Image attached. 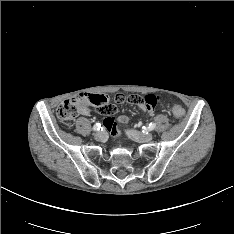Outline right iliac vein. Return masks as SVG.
Here are the masks:
<instances>
[{
    "label": "right iliac vein",
    "mask_w": 234,
    "mask_h": 234,
    "mask_svg": "<svg viewBox=\"0 0 234 234\" xmlns=\"http://www.w3.org/2000/svg\"><path fill=\"white\" fill-rule=\"evenodd\" d=\"M94 138L98 141H103L106 138V132L104 131H99L95 133Z\"/></svg>",
    "instance_id": "right-iliac-vein-1"
}]
</instances>
